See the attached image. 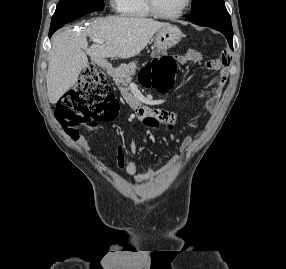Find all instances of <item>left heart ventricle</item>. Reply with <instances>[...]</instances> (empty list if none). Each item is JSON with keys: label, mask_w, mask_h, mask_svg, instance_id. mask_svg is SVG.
Listing matches in <instances>:
<instances>
[{"label": "left heart ventricle", "mask_w": 286, "mask_h": 269, "mask_svg": "<svg viewBox=\"0 0 286 269\" xmlns=\"http://www.w3.org/2000/svg\"><path fill=\"white\" fill-rule=\"evenodd\" d=\"M158 9L164 14H175L182 9L186 0H155Z\"/></svg>", "instance_id": "obj_1"}]
</instances>
